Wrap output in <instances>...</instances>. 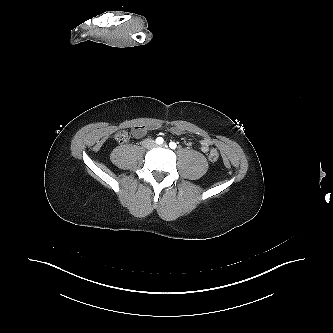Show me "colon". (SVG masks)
Returning <instances> with one entry per match:
<instances>
[{
  "instance_id": "1",
  "label": "colon",
  "mask_w": 333,
  "mask_h": 333,
  "mask_svg": "<svg viewBox=\"0 0 333 333\" xmlns=\"http://www.w3.org/2000/svg\"><path fill=\"white\" fill-rule=\"evenodd\" d=\"M130 138V135L127 131H120L116 133L115 139L119 143H124L128 141ZM208 159L210 162H216L219 159V153L217 150H211L208 154Z\"/></svg>"
}]
</instances>
